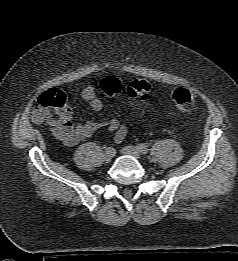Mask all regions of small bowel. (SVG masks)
Instances as JSON below:
<instances>
[{"label": "small bowel", "mask_w": 238, "mask_h": 261, "mask_svg": "<svg viewBox=\"0 0 238 261\" xmlns=\"http://www.w3.org/2000/svg\"><path fill=\"white\" fill-rule=\"evenodd\" d=\"M81 99L88 102L94 111H101L103 103L97 97V90L93 86L85 87L81 92ZM105 126L108 132L114 134L116 143L122 142L128 134V126L118 119L112 118L104 122L89 121L74 125L71 116L65 122L51 125L54 135L68 146H74L79 142L91 137L98 129Z\"/></svg>", "instance_id": "c3829d8e"}]
</instances>
